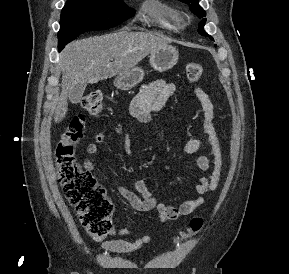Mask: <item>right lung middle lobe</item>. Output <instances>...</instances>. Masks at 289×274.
<instances>
[{"instance_id": "dd1d6c3e", "label": "right lung middle lobe", "mask_w": 289, "mask_h": 274, "mask_svg": "<svg viewBox=\"0 0 289 274\" xmlns=\"http://www.w3.org/2000/svg\"><path fill=\"white\" fill-rule=\"evenodd\" d=\"M133 15L122 0H67L60 19L59 51L79 34L112 28Z\"/></svg>"}]
</instances>
